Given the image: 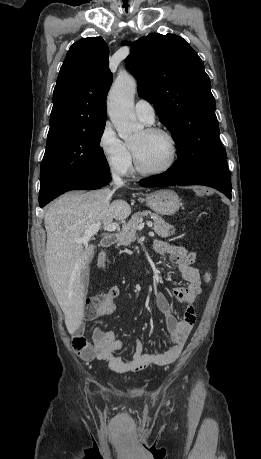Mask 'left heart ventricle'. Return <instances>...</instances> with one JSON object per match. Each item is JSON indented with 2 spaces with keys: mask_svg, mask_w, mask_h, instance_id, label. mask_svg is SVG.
I'll return each mask as SVG.
<instances>
[{
  "mask_svg": "<svg viewBox=\"0 0 261 459\" xmlns=\"http://www.w3.org/2000/svg\"><path fill=\"white\" fill-rule=\"evenodd\" d=\"M138 160L146 169H157L164 166L170 159L171 147L163 135L140 132L131 142Z\"/></svg>",
  "mask_w": 261,
  "mask_h": 459,
  "instance_id": "b2bd125f",
  "label": "left heart ventricle"
}]
</instances>
